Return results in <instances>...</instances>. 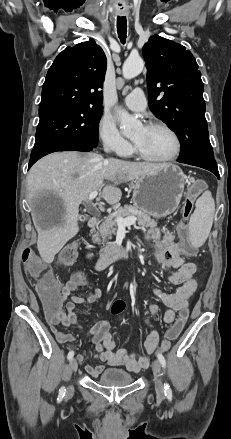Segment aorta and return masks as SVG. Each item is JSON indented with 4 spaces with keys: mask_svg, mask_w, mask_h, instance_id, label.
<instances>
[{
    "mask_svg": "<svg viewBox=\"0 0 231 439\" xmlns=\"http://www.w3.org/2000/svg\"><path fill=\"white\" fill-rule=\"evenodd\" d=\"M144 62L141 57H129L123 64L122 72L125 79H132L142 72ZM121 129L126 137H131L140 128L141 123L126 110L117 111Z\"/></svg>",
    "mask_w": 231,
    "mask_h": 439,
    "instance_id": "obj_1",
    "label": "aorta"
}]
</instances>
